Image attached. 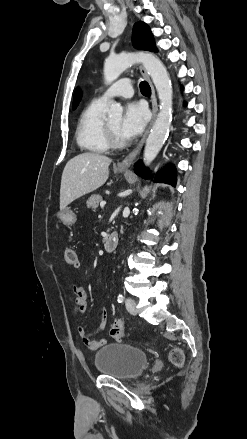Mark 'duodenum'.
<instances>
[{"instance_id": "duodenum-1", "label": "duodenum", "mask_w": 247, "mask_h": 439, "mask_svg": "<svg viewBox=\"0 0 247 439\" xmlns=\"http://www.w3.org/2000/svg\"><path fill=\"white\" fill-rule=\"evenodd\" d=\"M119 243V236L117 233L109 234L104 240V249L106 252H113Z\"/></svg>"}]
</instances>
